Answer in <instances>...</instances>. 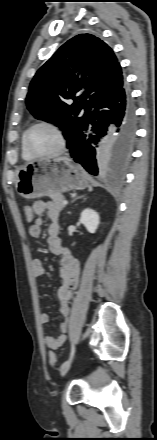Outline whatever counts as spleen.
<instances>
[{
    "label": "spleen",
    "instance_id": "obj_1",
    "mask_svg": "<svg viewBox=\"0 0 157 440\" xmlns=\"http://www.w3.org/2000/svg\"><path fill=\"white\" fill-rule=\"evenodd\" d=\"M88 188H89V191H92V187L91 186H88Z\"/></svg>",
    "mask_w": 157,
    "mask_h": 440
}]
</instances>
